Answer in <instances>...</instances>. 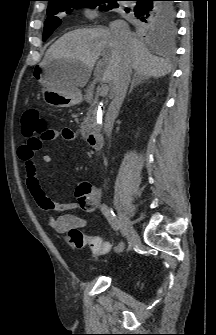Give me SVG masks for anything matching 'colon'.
<instances>
[{
  "instance_id": "5ec220e1",
  "label": "colon",
  "mask_w": 216,
  "mask_h": 335,
  "mask_svg": "<svg viewBox=\"0 0 216 335\" xmlns=\"http://www.w3.org/2000/svg\"><path fill=\"white\" fill-rule=\"evenodd\" d=\"M47 121L41 117L37 109H28L22 116V134L28 139L31 150L41 148L48 135ZM67 242L74 249L88 247L92 254H100L107 250L106 244L99 237H90L79 229H71L67 234Z\"/></svg>"
}]
</instances>
